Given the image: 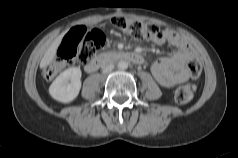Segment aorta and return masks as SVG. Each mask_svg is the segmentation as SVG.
Segmentation results:
<instances>
[{"label": "aorta", "mask_w": 238, "mask_h": 158, "mask_svg": "<svg viewBox=\"0 0 238 158\" xmlns=\"http://www.w3.org/2000/svg\"><path fill=\"white\" fill-rule=\"evenodd\" d=\"M118 68L121 70H125L128 68V63L124 60L118 62Z\"/></svg>", "instance_id": "1"}]
</instances>
